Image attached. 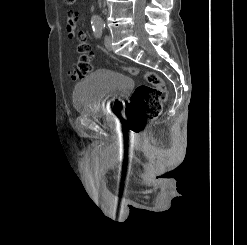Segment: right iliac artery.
Listing matches in <instances>:
<instances>
[{
	"label": "right iliac artery",
	"mask_w": 247,
	"mask_h": 245,
	"mask_svg": "<svg viewBox=\"0 0 247 245\" xmlns=\"http://www.w3.org/2000/svg\"><path fill=\"white\" fill-rule=\"evenodd\" d=\"M102 27L101 26H96V27H93V31H94V35L97 37V38H100L102 36Z\"/></svg>",
	"instance_id": "right-iliac-artery-1"
}]
</instances>
